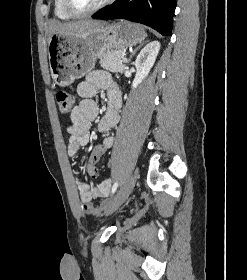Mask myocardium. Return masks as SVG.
Masks as SVG:
<instances>
[{"mask_svg":"<svg viewBox=\"0 0 247 280\" xmlns=\"http://www.w3.org/2000/svg\"><path fill=\"white\" fill-rule=\"evenodd\" d=\"M114 0H103L101 3H99L98 5L89 8V9H80L77 8L74 3L73 0H63V4H64V8L65 10L71 14L72 16H86V15H91L103 8H105L106 6H108L109 4H111Z\"/></svg>","mask_w":247,"mask_h":280,"instance_id":"1","label":"myocardium"}]
</instances>
